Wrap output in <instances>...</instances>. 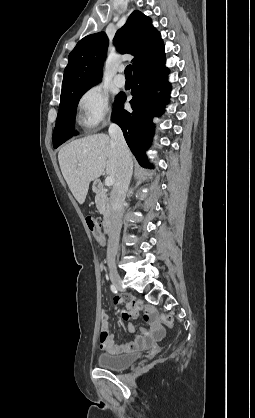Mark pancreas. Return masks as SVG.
Instances as JSON below:
<instances>
[{"label":"pancreas","mask_w":255,"mask_h":418,"mask_svg":"<svg viewBox=\"0 0 255 418\" xmlns=\"http://www.w3.org/2000/svg\"><path fill=\"white\" fill-rule=\"evenodd\" d=\"M96 207L100 214L107 215L109 211V198L104 191H99L95 197Z\"/></svg>","instance_id":"obj_1"}]
</instances>
